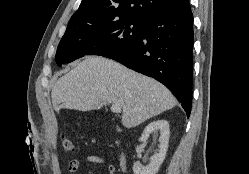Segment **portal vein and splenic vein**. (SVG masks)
Masks as SVG:
<instances>
[{"label": "portal vein and splenic vein", "mask_w": 249, "mask_h": 174, "mask_svg": "<svg viewBox=\"0 0 249 174\" xmlns=\"http://www.w3.org/2000/svg\"><path fill=\"white\" fill-rule=\"evenodd\" d=\"M111 111L113 113H121V108L118 104H112Z\"/></svg>", "instance_id": "1"}]
</instances>
